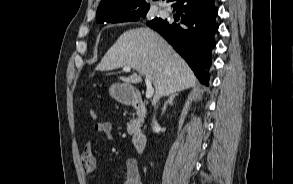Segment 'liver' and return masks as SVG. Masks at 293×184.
Here are the masks:
<instances>
[{
  "label": "liver",
  "mask_w": 293,
  "mask_h": 184,
  "mask_svg": "<svg viewBox=\"0 0 293 184\" xmlns=\"http://www.w3.org/2000/svg\"><path fill=\"white\" fill-rule=\"evenodd\" d=\"M128 66L136 73L120 77L126 83L150 78L155 87L153 104L162 96L194 87L197 79L186 62L155 31L139 27L125 31L97 65L98 71Z\"/></svg>",
  "instance_id": "liver-1"
}]
</instances>
